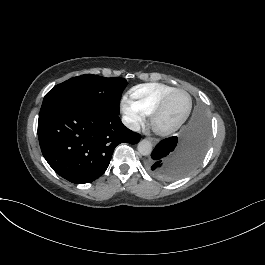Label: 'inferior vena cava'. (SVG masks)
Segmentation results:
<instances>
[{
  "mask_svg": "<svg viewBox=\"0 0 265 265\" xmlns=\"http://www.w3.org/2000/svg\"><path fill=\"white\" fill-rule=\"evenodd\" d=\"M122 123L132 131L140 130V124L137 121H135L131 116L127 115L123 116Z\"/></svg>",
  "mask_w": 265,
  "mask_h": 265,
  "instance_id": "inferior-vena-cava-1",
  "label": "inferior vena cava"
}]
</instances>
